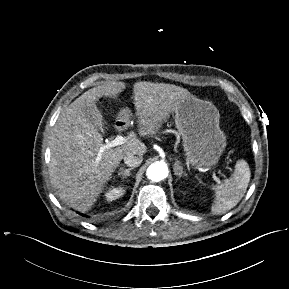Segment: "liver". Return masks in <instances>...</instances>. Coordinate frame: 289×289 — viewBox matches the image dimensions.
Wrapping results in <instances>:
<instances>
[{
  "label": "liver",
  "instance_id": "1",
  "mask_svg": "<svg viewBox=\"0 0 289 289\" xmlns=\"http://www.w3.org/2000/svg\"><path fill=\"white\" fill-rule=\"evenodd\" d=\"M125 88L124 82L110 81L89 89L60 114L52 129L50 181L58 197L78 211L85 212L93 206L128 152L147 151L145 144L132 133L123 145L100 152L103 137L99 131H103V119L100 116L92 123L86 117L87 108L96 111L100 98H116ZM133 93L142 136L155 135L181 101L190 96L182 87L152 82L135 83Z\"/></svg>",
  "mask_w": 289,
  "mask_h": 289
}]
</instances>
